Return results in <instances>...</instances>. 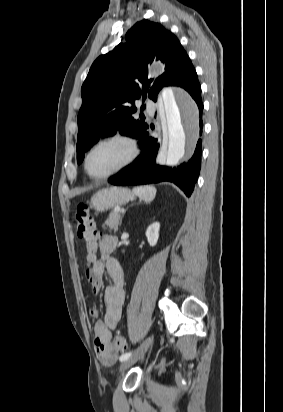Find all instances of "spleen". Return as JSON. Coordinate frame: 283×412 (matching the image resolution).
Instances as JSON below:
<instances>
[{
	"mask_svg": "<svg viewBox=\"0 0 283 412\" xmlns=\"http://www.w3.org/2000/svg\"><path fill=\"white\" fill-rule=\"evenodd\" d=\"M133 192L142 200L152 201L156 195V188L153 186L135 187L133 188Z\"/></svg>",
	"mask_w": 283,
	"mask_h": 412,
	"instance_id": "spleen-1",
	"label": "spleen"
}]
</instances>
